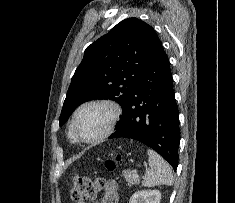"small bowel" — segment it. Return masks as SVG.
<instances>
[{
    "instance_id": "c3829d8e",
    "label": "small bowel",
    "mask_w": 235,
    "mask_h": 203,
    "mask_svg": "<svg viewBox=\"0 0 235 203\" xmlns=\"http://www.w3.org/2000/svg\"><path fill=\"white\" fill-rule=\"evenodd\" d=\"M118 185L114 180H108L104 186V194L98 203H118Z\"/></svg>"
}]
</instances>
